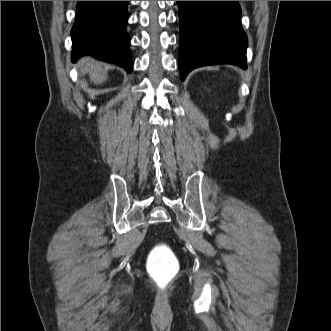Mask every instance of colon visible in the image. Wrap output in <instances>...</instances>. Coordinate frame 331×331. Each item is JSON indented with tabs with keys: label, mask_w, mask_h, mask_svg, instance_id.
Returning <instances> with one entry per match:
<instances>
[{
	"label": "colon",
	"mask_w": 331,
	"mask_h": 331,
	"mask_svg": "<svg viewBox=\"0 0 331 331\" xmlns=\"http://www.w3.org/2000/svg\"><path fill=\"white\" fill-rule=\"evenodd\" d=\"M147 269L160 289L167 288L179 273V263L172 250L159 244L151 251Z\"/></svg>",
	"instance_id": "5ec220e1"
}]
</instances>
